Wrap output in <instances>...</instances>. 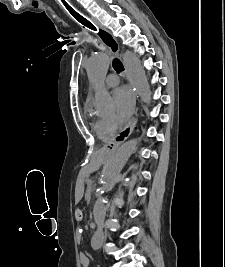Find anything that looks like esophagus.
<instances>
[{
	"label": "esophagus",
	"mask_w": 225,
	"mask_h": 267,
	"mask_svg": "<svg viewBox=\"0 0 225 267\" xmlns=\"http://www.w3.org/2000/svg\"><path fill=\"white\" fill-rule=\"evenodd\" d=\"M94 22L101 29L102 32H106L109 35V37L107 38V43L103 41L106 44V46L117 57H121L120 53H119V45H118L117 40L113 37V35L106 28L101 26L97 21H94ZM101 31L99 32V35H100ZM133 95H134V100L136 102L137 94L134 90H133ZM136 113H137V107L135 109V114ZM136 122H137V119L135 116H133L130 119V121L128 122L127 126L117 136H115L113 139H111L109 142H107L104 145V150L108 154H112L118 148V146L121 143H123L130 136V134L132 133V131L136 125Z\"/></svg>",
	"instance_id": "1"
}]
</instances>
